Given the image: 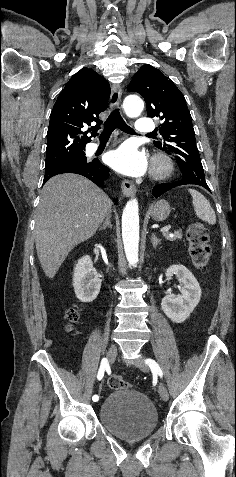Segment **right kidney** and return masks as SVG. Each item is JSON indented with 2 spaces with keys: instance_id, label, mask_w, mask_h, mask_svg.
I'll list each match as a JSON object with an SVG mask.
<instances>
[{
  "instance_id": "1",
  "label": "right kidney",
  "mask_w": 236,
  "mask_h": 477,
  "mask_svg": "<svg viewBox=\"0 0 236 477\" xmlns=\"http://www.w3.org/2000/svg\"><path fill=\"white\" fill-rule=\"evenodd\" d=\"M73 286L76 297L81 302H92L101 288V279L93 267L90 256H83L74 268Z\"/></svg>"
}]
</instances>
